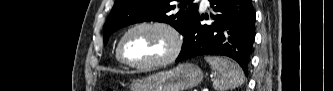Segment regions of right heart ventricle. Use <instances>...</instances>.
<instances>
[{
    "instance_id": "e07e8e85",
    "label": "right heart ventricle",
    "mask_w": 333,
    "mask_h": 91,
    "mask_svg": "<svg viewBox=\"0 0 333 91\" xmlns=\"http://www.w3.org/2000/svg\"><path fill=\"white\" fill-rule=\"evenodd\" d=\"M116 59H117L118 62L122 63L121 60H120L119 57H118L117 50H116Z\"/></svg>"
}]
</instances>
